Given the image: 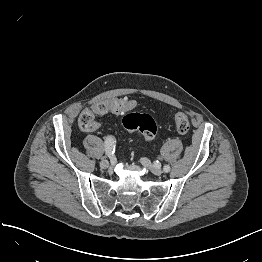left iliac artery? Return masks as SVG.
<instances>
[{"label":"left iliac artery","mask_w":262,"mask_h":262,"mask_svg":"<svg viewBox=\"0 0 262 262\" xmlns=\"http://www.w3.org/2000/svg\"><path fill=\"white\" fill-rule=\"evenodd\" d=\"M163 170H164L165 172H169V171H170V166H169V165H165L164 168H163Z\"/></svg>","instance_id":"1"}]
</instances>
